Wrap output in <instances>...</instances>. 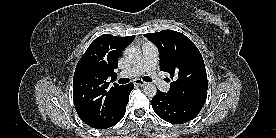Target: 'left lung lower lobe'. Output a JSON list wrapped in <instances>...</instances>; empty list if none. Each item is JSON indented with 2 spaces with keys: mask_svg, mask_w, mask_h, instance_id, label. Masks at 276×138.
<instances>
[{
  "mask_svg": "<svg viewBox=\"0 0 276 138\" xmlns=\"http://www.w3.org/2000/svg\"><path fill=\"white\" fill-rule=\"evenodd\" d=\"M151 105L161 119L174 124H182L194 119L201 110L200 107L174 99L158 89Z\"/></svg>",
  "mask_w": 276,
  "mask_h": 138,
  "instance_id": "1",
  "label": "left lung lower lobe"
}]
</instances>
